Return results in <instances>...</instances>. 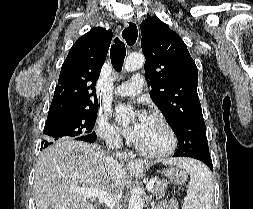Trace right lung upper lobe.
I'll list each match as a JSON object with an SVG mask.
<instances>
[{
    "instance_id": "cb5924a9",
    "label": "right lung upper lobe",
    "mask_w": 253,
    "mask_h": 209,
    "mask_svg": "<svg viewBox=\"0 0 253 209\" xmlns=\"http://www.w3.org/2000/svg\"><path fill=\"white\" fill-rule=\"evenodd\" d=\"M111 40V30L96 27L74 43L61 67L48 116L98 106L96 83Z\"/></svg>"
}]
</instances>
